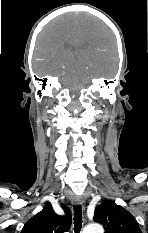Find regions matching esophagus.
I'll use <instances>...</instances> for the list:
<instances>
[{
  "label": "esophagus",
  "instance_id": "34e87169",
  "mask_svg": "<svg viewBox=\"0 0 148 233\" xmlns=\"http://www.w3.org/2000/svg\"><path fill=\"white\" fill-rule=\"evenodd\" d=\"M73 203H74L75 205H77V206L83 205V204H84V199H83V197L80 196V195L74 196V197H73Z\"/></svg>",
  "mask_w": 148,
  "mask_h": 233
}]
</instances>
